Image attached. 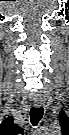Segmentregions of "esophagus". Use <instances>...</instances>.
I'll return each instance as SVG.
<instances>
[{"instance_id": "esophagus-1", "label": "esophagus", "mask_w": 69, "mask_h": 135, "mask_svg": "<svg viewBox=\"0 0 69 135\" xmlns=\"http://www.w3.org/2000/svg\"><path fill=\"white\" fill-rule=\"evenodd\" d=\"M34 106H36V107H41V106H42V102L36 100V101H34Z\"/></svg>"}]
</instances>
